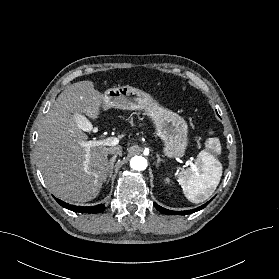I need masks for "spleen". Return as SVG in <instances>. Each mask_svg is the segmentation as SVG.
<instances>
[{"mask_svg":"<svg viewBox=\"0 0 279 279\" xmlns=\"http://www.w3.org/2000/svg\"><path fill=\"white\" fill-rule=\"evenodd\" d=\"M205 144L206 148L197 155L195 163L178 173L183 193L192 203H200L209 198L222 176V164L213 154L221 151L219 139L209 138Z\"/></svg>","mask_w":279,"mask_h":279,"instance_id":"3e777b00","label":"spleen"}]
</instances>
